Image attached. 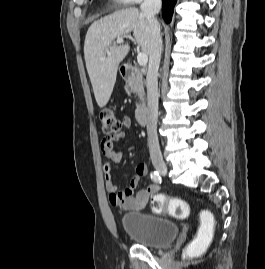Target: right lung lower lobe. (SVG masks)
<instances>
[{"mask_svg": "<svg viewBox=\"0 0 265 269\" xmlns=\"http://www.w3.org/2000/svg\"><path fill=\"white\" fill-rule=\"evenodd\" d=\"M177 0H163L162 16L166 23H169L172 19L174 6Z\"/></svg>", "mask_w": 265, "mask_h": 269, "instance_id": "right-lung-lower-lobe-1", "label": "right lung lower lobe"}]
</instances>
